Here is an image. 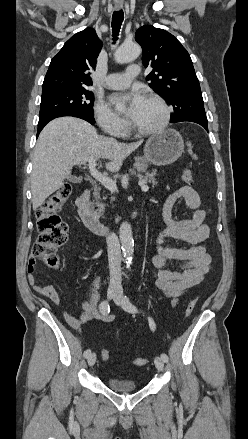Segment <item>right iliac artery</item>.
<instances>
[{"instance_id":"right-iliac-artery-1","label":"right iliac artery","mask_w":248,"mask_h":439,"mask_svg":"<svg viewBox=\"0 0 248 439\" xmlns=\"http://www.w3.org/2000/svg\"><path fill=\"white\" fill-rule=\"evenodd\" d=\"M100 312L103 315H107L110 312V306L108 304L107 301H103L101 302L100 306H99ZM91 354V350L87 349L86 351H84V357L87 358L89 355Z\"/></svg>"}]
</instances>
